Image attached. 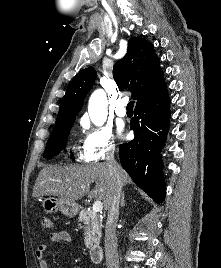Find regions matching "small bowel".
Masks as SVG:
<instances>
[{
	"mask_svg": "<svg viewBox=\"0 0 221 268\" xmlns=\"http://www.w3.org/2000/svg\"><path fill=\"white\" fill-rule=\"evenodd\" d=\"M49 239L53 243L72 241L71 235L65 231L53 232L50 234ZM48 247L49 246L47 244H41L35 251V256L39 263V268H50L48 261L45 259V254L48 250Z\"/></svg>",
	"mask_w": 221,
	"mask_h": 268,
	"instance_id": "obj_1",
	"label": "small bowel"
}]
</instances>
